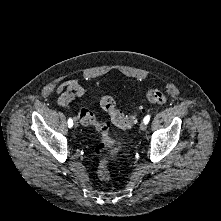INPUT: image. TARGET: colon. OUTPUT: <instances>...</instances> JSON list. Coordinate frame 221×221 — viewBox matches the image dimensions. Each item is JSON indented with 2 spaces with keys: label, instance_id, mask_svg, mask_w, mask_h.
Returning <instances> with one entry per match:
<instances>
[{
  "label": "colon",
  "instance_id": "obj_1",
  "mask_svg": "<svg viewBox=\"0 0 221 221\" xmlns=\"http://www.w3.org/2000/svg\"><path fill=\"white\" fill-rule=\"evenodd\" d=\"M149 102L156 104H165L167 96L163 91L150 89L146 93ZM101 107L109 115L110 122L98 123L93 113L87 109H80L78 119L84 125L93 126L102 135L103 139L95 146V153L98 157V176L103 181L110 178L109 162L110 152L114 147V140L109 137L108 132L111 123L120 129H129L136 122L138 113L132 112L124 114L116 108L115 101L110 96H103L100 100Z\"/></svg>",
  "mask_w": 221,
  "mask_h": 221
}]
</instances>
